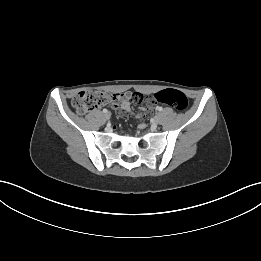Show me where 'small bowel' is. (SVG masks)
<instances>
[{"label":"small bowel","instance_id":"1","mask_svg":"<svg viewBox=\"0 0 261 261\" xmlns=\"http://www.w3.org/2000/svg\"><path fill=\"white\" fill-rule=\"evenodd\" d=\"M118 102L119 103L113 104V107L119 112L129 111L130 102H134L136 105L144 106L141 108V112L136 114L138 118H141L152 110L156 99L153 96L131 93L130 91H127L126 93H121L118 95Z\"/></svg>","mask_w":261,"mask_h":261}]
</instances>
